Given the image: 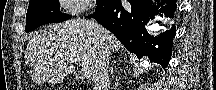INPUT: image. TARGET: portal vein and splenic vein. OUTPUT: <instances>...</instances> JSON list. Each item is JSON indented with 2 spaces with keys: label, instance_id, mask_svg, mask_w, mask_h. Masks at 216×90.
Segmentation results:
<instances>
[{
  "label": "portal vein and splenic vein",
  "instance_id": "obj_1",
  "mask_svg": "<svg viewBox=\"0 0 216 90\" xmlns=\"http://www.w3.org/2000/svg\"><path fill=\"white\" fill-rule=\"evenodd\" d=\"M76 64H77V66H81L80 60H78V62H76ZM83 76H84V78H88L87 72H83ZM84 78H81V80H84Z\"/></svg>",
  "mask_w": 216,
  "mask_h": 90
}]
</instances>
